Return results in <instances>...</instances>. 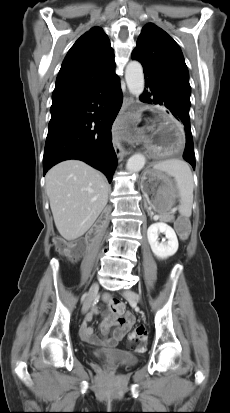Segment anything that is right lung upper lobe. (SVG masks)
Wrapping results in <instances>:
<instances>
[{"label": "right lung upper lobe", "mask_w": 230, "mask_h": 413, "mask_svg": "<svg viewBox=\"0 0 230 413\" xmlns=\"http://www.w3.org/2000/svg\"><path fill=\"white\" fill-rule=\"evenodd\" d=\"M115 74L114 52L100 27L84 33L68 51L52 99L83 93Z\"/></svg>", "instance_id": "1"}]
</instances>
